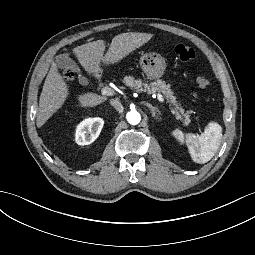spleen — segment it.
Wrapping results in <instances>:
<instances>
[{"mask_svg":"<svg viewBox=\"0 0 255 255\" xmlns=\"http://www.w3.org/2000/svg\"><path fill=\"white\" fill-rule=\"evenodd\" d=\"M177 135H183L177 130ZM222 139V128L217 124H212L206 129L204 136L199 138V146L191 151L192 159L200 164L207 163L217 152Z\"/></svg>","mask_w":255,"mask_h":255,"instance_id":"spleen-1","label":"spleen"}]
</instances>
